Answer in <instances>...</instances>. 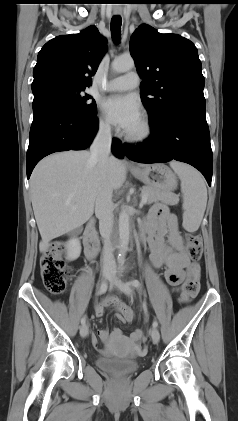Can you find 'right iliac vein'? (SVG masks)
I'll return each instance as SVG.
<instances>
[{
    "label": "right iliac vein",
    "instance_id": "right-iliac-vein-1",
    "mask_svg": "<svg viewBox=\"0 0 238 421\" xmlns=\"http://www.w3.org/2000/svg\"><path fill=\"white\" fill-rule=\"evenodd\" d=\"M108 274H109V268L108 267H104L102 270V280H106L108 278ZM89 334V330H88V326L87 324H84L81 326L80 328V335L82 337H87Z\"/></svg>",
    "mask_w": 238,
    "mask_h": 421
}]
</instances>
